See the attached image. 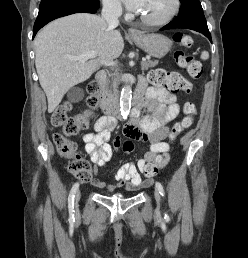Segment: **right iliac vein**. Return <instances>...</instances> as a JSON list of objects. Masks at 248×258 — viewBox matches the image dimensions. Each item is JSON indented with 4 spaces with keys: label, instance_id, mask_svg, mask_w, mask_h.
<instances>
[{
    "label": "right iliac vein",
    "instance_id": "1",
    "mask_svg": "<svg viewBox=\"0 0 248 258\" xmlns=\"http://www.w3.org/2000/svg\"><path fill=\"white\" fill-rule=\"evenodd\" d=\"M80 197H81V192L78 190V191L76 192L75 198H74L76 207H77V205H78V202H79V200H80Z\"/></svg>",
    "mask_w": 248,
    "mask_h": 258
}]
</instances>
